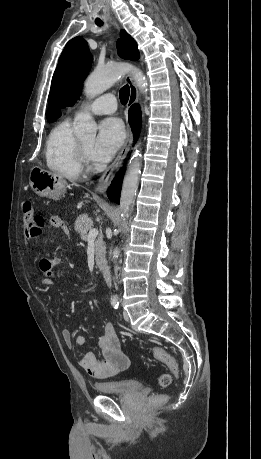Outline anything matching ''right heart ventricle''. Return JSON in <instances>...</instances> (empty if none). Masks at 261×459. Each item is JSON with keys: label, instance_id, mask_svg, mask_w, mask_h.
I'll use <instances>...</instances> for the list:
<instances>
[{"label": "right heart ventricle", "instance_id": "right-heart-ventricle-1", "mask_svg": "<svg viewBox=\"0 0 261 459\" xmlns=\"http://www.w3.org/2000/svg\"><path fill=\"white\" fill-rule=\"evenodd\" d=\"M47 167L59 175L76 179L82 172L77 153V139L71 119L57 123L50 131L45 144Z\"/></svg>", "mask_w": 261, "mask_h": 459}]
</instances>
